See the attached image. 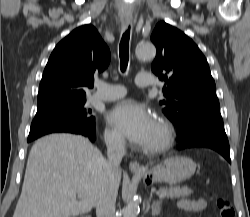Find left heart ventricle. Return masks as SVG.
I'll list each match as a JSON object with an SVG mask.
<instances>
[{"mask_svg":"<svg viewBox=\"0 0 250 217\" xmlns=\"http://www.w3.org/2000/svg\"><path fill=\"white\" fill-rule=\"evenodd\" d=\"M160 139H161V130H160L158 123L155 121V125L153 127V130H152V132L149 136V139L146 142L145 146L146 147L153 146L156 143H158L160 141Z\"/></svg>","mask_w":250,"mask_h":217,"instance_id":"1","label":"left heart ventricle"}]
</instances>
